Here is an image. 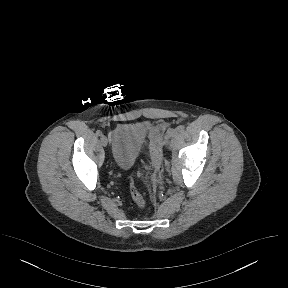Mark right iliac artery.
I'll return each mask as SVG.
<instances>
[{
  "label": "right iliac artery",
  "mask_w": 288,
  "mask_h": 288,
  "mask_svg": "<svg viewBox=\"0 0 288 288\" xmlns=\"http://www.w3.org/2000/svg\"><path fill=\"white\" fill-rule=\"evenodd\" d=\"M96 135L99 136V137H101V136H102V132H101L100 130H97V131H96Z\"/></svg>",
  "instance_id": "82829eb1"
}]
</instances>
